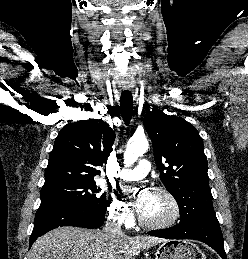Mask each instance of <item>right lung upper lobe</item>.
<instances>
[{
    "label": "right lung upper lobe",
    "mask_w": 248,
    "mask_h": 259,
    "mask_svg": "<svg viewBox=\"0 0 248 259\" xmlns=\"http://www.w3.org/2000/svg\"><path fill=\"white\" fill-rule=\"evenodd\" d=\"M114 139V131L101 119L67 124L50 153L45 183L94 180V176L100 175L96 167L107 162Z\"/></svg>",
    "instance_id": "obj_1"
}]
</instances>
